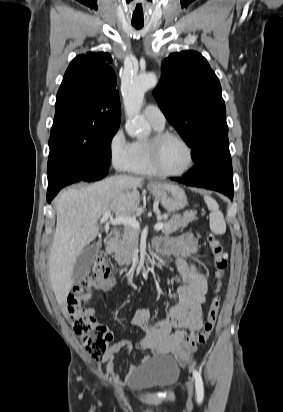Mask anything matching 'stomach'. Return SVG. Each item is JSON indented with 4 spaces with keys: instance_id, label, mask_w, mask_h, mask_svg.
I'll return each mask as SVG.
<instances>
[{
    "instance_id": "0dacf381",
    "label": "stomach",
    "mask_w": 283,
    "mask_h": 412,
    "mask_svg": "<svg viewBox=\"0 0 283 412\" xmlns=\"http://www.w3.org/2000/svg\"><path fill=\"white\" fill-rule=\"evenodd\" d=\"M153 196L160 200L164 209L169 212H176L187 205V196L185 191L177 185L172 184H155L150 187Z\"/></svg>"
}]
</instances>
